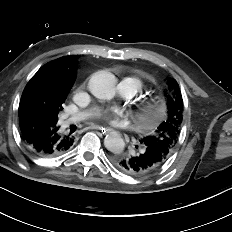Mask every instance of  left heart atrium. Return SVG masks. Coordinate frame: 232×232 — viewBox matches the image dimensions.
Segmentation results:
<instances>
[{"instance_id": "1", "label": "left heart atrium", "mask_w": 232, "mask_h": 232, "mask_svg": "<svg viewBox=\"0 0 232 232\" xmlns=\"http://www.w3.org/2000/svg\"><path fill=\"white\" fill-rule=\"evenodd\" d=\"M119 115V112H105L101 115V118L107 123H116Z\"/></svg>"}]
</instances>
